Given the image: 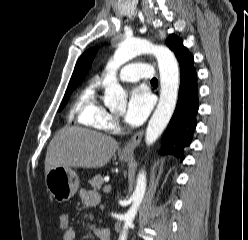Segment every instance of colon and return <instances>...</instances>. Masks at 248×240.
I'll return each mask as SVG.
<instances>
[{
	"label": "colon",
	"instance_id": "1",
	"mask_svg": "<svg viewBox=\"0 0 248 240\" xmlns=\"http://www.w3.org/2000/svg\"><path fill=\"white\" fill-rule=\"evenodd\" d=\"M69 227H71L70 215L67 213L60 214V216H59V228H60V230L65 231Z\"/></svg>",
	"mask_w": 248,
	"mask_h": 240
}]
</instances>
